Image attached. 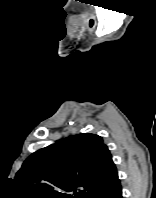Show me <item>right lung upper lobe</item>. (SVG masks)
Returning a JSON list of instances; mask_svg holds the SVG:
<instances>
[{
  "mask_svg": "<svg viewBox=\"0 0 156 198\" xmlns=\"http://www.w3.org/2000/svg\"><path fill=\"white\" fill-rule=\"evenodd\" d=\"M16 180L45 198H107L120 187L116 167L102 137L78 134L31 154Z\"/></svg>",
  "mask_w": 156,
  "mask_h": 198,
  "instance_id": "right-lung-upper-lobe-1",
  "label": "right lung upper lobe"
}]
</instances>
